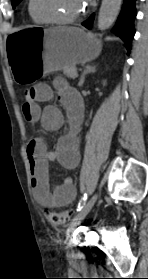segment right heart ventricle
Returning a JSON list of instances; mask_svg holds the SVG:
<instances>
[{
  "label": "right heart ventricle",
  "mask_w": 148,
  "mask_h": 279,
  "mask_svg": "<svg viewBox=\"0 0 148 279\" xmlns=\"http://www.w3.org/2000/svg\"><path fill=\"white\" fill-rule=\"evenodd\" d=\"M28 9H29L30 15H31V17H32V20H33L35 23H37V24H43V23H44V22L38 20L37 18H35V17L31 14V11H30V3H29Z\"/></svg>",
  "instance_id": "1"
}]
</instances>
